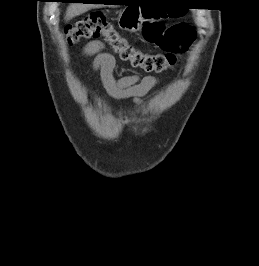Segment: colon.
<instances>
[{
	"mask_svg": "<svg viewBox=\"0 0 259 266\" xmlns=\"http://www.w3.org/2000/svg\"><path fill=\"white\" fill-rule=\"evenodd\" d=\"M65 36L69 44L82 39H103L123 60L146 72L159 73L174 67L176 55L187 51L196 35L194 29L187 24L166 27L161 16L150 11L145 15L142 36L146 42L164 51L152 54L136 48L119 33L103 12L94 11L69 26Z\"/></svg>",
	"mask_w": 259,
	"mask_h": 266,
	"instance_id": "obj_1",
	"label": "colon"
}]
</instances>
